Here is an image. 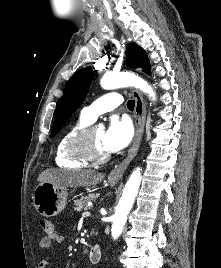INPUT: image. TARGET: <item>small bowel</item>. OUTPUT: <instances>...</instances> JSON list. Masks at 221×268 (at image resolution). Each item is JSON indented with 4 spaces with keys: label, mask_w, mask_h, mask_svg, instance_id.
Here are the masks:
<instances>
[{
    "label": "small bowel",
    "mask_w": 221,
    "mask_h": 268,
    "mask_svg": "<svg viewBox=\"0 0 221 268\" xmlns=\"http://www.w3.org/2000/svg\"><path fill=\"white\" fill-rule=\"evenodd\" d=\"M62 240V236H60L53 228L51 232H47L46 235L40 240L39 248L41 251H47L52 247L53 243H61ZM51 264V260L43 259L39 262V268H50Z\"/></svg>",
    "instance_id": "c3829d8e"
}]
</instances>
